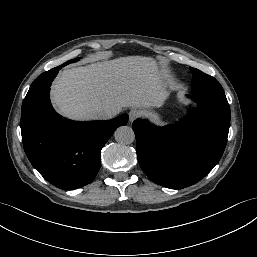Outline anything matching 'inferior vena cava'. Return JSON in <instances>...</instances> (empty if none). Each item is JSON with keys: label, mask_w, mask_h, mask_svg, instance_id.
<instances>
[{"label": "inferior vena cava", "mask_w": 257, "mask_h": 257, "mask_svg": "<svg viewBox=\"0 0 257 257\" xmlns=\"http://www.w3.org/2000/svg\"><path fill=\"white\" fill-rule=\"evenodd\" d=\"M120 111L117 109H98L94 113L96 120H108L114 118Z\"/></svg>", "instance_id": "1"}]
</instances>
